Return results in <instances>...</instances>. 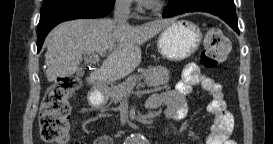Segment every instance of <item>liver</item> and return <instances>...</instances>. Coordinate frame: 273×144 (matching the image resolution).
<instances>
[{
    "label": "liver",
    "mask_w": 273,
    "mask_h": 144,
    "mask_svg": "<svg viewBox=\"0 0 273 144\" xmlns=\"http://www.w3.org/2000/svg\"><path fill=\"white\" fill-rule=\"evenodd\" d=\"M160 19L141 26L118 25L114 20L77 19L56 26L47 36L45 63L49 82L72 76L83 54L106 56L100 68L87 78L89 83H110L132 73L141 62L140 45L173 23Z\"/></svg>",
    "instance_id": "6515ba94"
}]
</instances>
